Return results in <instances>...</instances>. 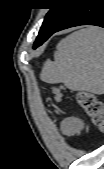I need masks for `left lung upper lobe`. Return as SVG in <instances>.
I'll use <instances>...</instances> for the list:
<instances>
[{
    "instance_id": "5c2ea615",
    "label": "left lung upper lobe",
    "mask_w": 104,
    "mask_h": 169,
    "mask_svg": "<svg viewBox=\"0 0 104 169\" xmlns=\"http://www.w3.org/2000/svg\"><path fill=\"white\" fill-rule=\"evenodd\" d=\"M76 1L77 0H50L55 6L50 8L40 30H42L44 34L53 31L73 9Z\"/></svg>"
}]
</instances>
